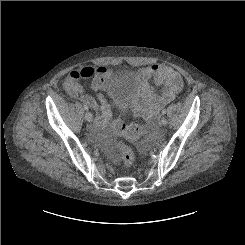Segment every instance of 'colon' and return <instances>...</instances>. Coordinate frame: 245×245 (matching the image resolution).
Instances as JSON below:
<instances>
[{
  "label": "colon",
  "instance_id": "colon-1",
  "mask_svg": "<svg viewBox=\"0 0 245 245\" xmlns=\"http://www.w3.org/2000/svg\"><path fill=\"white\" fill-rule=\"evenodd\" d=\"M123 128V127H122ZM124 130L130 135L131 137H136L139 135L140 129L138 126H132L129 128H124ZM120 158L122 161V164L125 167H129L132 165L134 160V155L132 150L125 145L124 143H120Z\"/></svg>",
  "mask_w": 245,
  "mask_h": 245
}]
</instances>
